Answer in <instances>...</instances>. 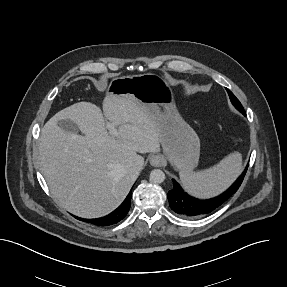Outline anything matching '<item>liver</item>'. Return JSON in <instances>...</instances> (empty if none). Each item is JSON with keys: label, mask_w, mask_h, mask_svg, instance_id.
I'll return each instance as SVG.
<instances>
[{"label": "liver", "mask_w": 287, "mask_h": 287, "mask_svg": "<svg viewBox=\"0 0 287 287\" xmlns=\"http://www.w3.org/2000/svg\"><path fill=\"white\" fill-rule=\"evenodd\" d=\"M71 120L84 135L64 131ZM106 120L117 129L107 131ZM39 164L60 206L83 218H98L117 208L139 172V153L160 151L156 124L131 97L106 96L103 114L91 102H78L56 113L41 130Z\"/></svg>", "instance_id": "6515ba94"}]
</instances>
